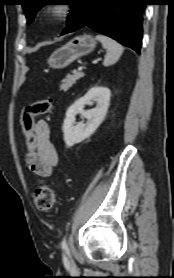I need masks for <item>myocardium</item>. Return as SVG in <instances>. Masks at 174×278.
I'll return each mask as SVG.
<instances>
[{
  "mask_svg": "<svg viewBox=\"0 0 174 278\" xmlns=\"http://www.w3.org/2000/svg\"><path fill=\"white\" fill-rule=\"evenodd\" d=\"M74 7L70 4H49L43 9L45 17L52 22L66 20L73 12Z\"/></svg>",
  "mask_w": 174,
  "mask_h": 278,
  "instance_id": "obj_1",
  "label": "myocardium"
}]
</instances>
